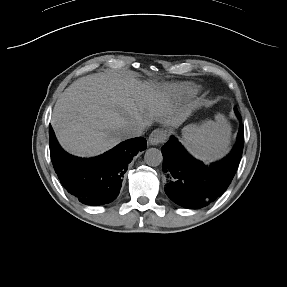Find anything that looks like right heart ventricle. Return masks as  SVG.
Here are the masks:
<instances>
[{"label":"right heart ventricle","instance_id":"e07e8e85","mask_svg":"<svg viewBox=\"0 0 287 287\" xmlns=\"http://www.w3.org/2000/svg\"><path fill=\"white\" fill-rule=\"evenodd\" d=\"M197 89L191 85H185L182 87V91L185 93H194Z\"/></svg>","mask_w":287,"mask_h":287}]
</instances>
